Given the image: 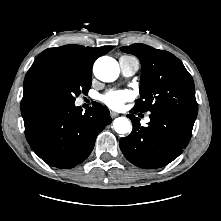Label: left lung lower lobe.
Wrapping results in <instances>:
<instances>
[{
  "label": "left lung lower lobe",
  "mask_w": 221,
  "mask_h": 221,
  "mask_svg": "<svg viewBox=\"0 0 221 221\" xmlns=\"http://www.w3.org/2000/svg\"><path fill=\"white\" fill-rule=\"evenodd\" d=\"M133 124L131 134L120 141V148L128 161L134 165L153 169L163 167L176 159L191 138L195 119L168 113L150 114L148 126L128 115Z\"/></svg>",
  "instance_id": "left-lung-lower-lobe-1"
}]
</instances>
